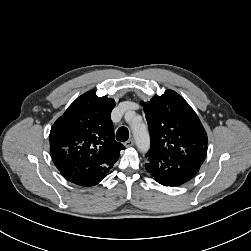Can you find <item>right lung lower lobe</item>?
<instances>
[{"label":"right lung lower lobe","mask_w":251,"mask_h":251,"mask_svg":"<svg viewBox=\"0 0 251 251\" xmlns=\"http://www.w3.org/2000/svg\"><path fill=\"white\" fill-rule=\"evenodd\" d=\"M105 177L106 175L104 177L89 176L85 178L84 180H82L81 183H75V184L82 185V186H93L99 183Z\"/></svg>","instance_id":"right-lung-lower-lobe-1"}]
</instances>
